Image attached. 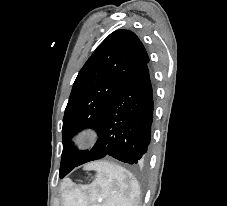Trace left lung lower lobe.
<instances>
[{
  "mask_svg": "<svg viewBox=\"0 0 227 206\" xmlns=\"http://www.w3.org/2000/svg\"><path fill=\"white\" fill-rule=\"evenodd\" d=\"M152 121L153 90L145 64L119 89L105 113L97 143L73 168L105 156L138 163L149 151ZM73 168L59 173V177Z\"/></svg>",
  "mask_w": 227,
  "mask_h": 206,
  "instance_id": "left-lung-lower-lobe-1",
  "label": "left lung lower lobe"
}]
</instances>
